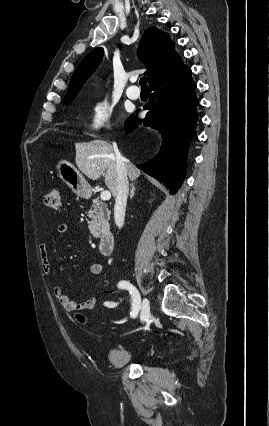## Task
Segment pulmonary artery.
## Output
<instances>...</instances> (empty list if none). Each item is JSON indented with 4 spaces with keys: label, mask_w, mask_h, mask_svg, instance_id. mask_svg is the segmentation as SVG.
<instances>
[{
    "label": "pulmonary artery",
    "mask_w": 269,
    "mask_h": 426,
    "mask_svg": "<svg viewBox=\"0 0 269 426\" xmlns=\"http://www.w3.org/2000/svg\"><path fill=\"white\" fill-rule=\"evenodd\" d=\"M132 83H134L135 82V80L134 79H132V81H131ZM126 94H127V96L130 98V99H132V100H136V99H138L139 97H140V90L138 89V87L137 86H135V85H131V86H129L128 88H127V90H126Z\"/></svg>",
    "instance_id": "obj_1"
}]
</instances>
